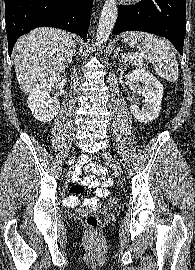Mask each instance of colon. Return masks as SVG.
<instances>
[{"mask_svg":"<svg viewBox=\"0 0 195 270\" xmlns=\"http://www.w3.org/2000/svg\"><path fill=\"white\" fill-rule=\"evenodd\" d=\"M117 198H111L108 202L110 206L116 205ZM86 227L91 234H96L100 227V220L95 214H89L85 220Z\"/></svg>","mask_w":195,"mask_h":270,"instance_id":"1","label":"colon"}]
</instances>
